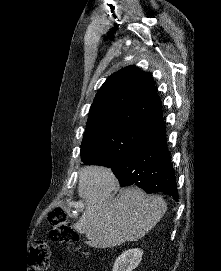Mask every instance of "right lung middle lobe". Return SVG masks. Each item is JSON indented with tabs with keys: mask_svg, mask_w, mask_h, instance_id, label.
Here are the masks:
<instances>
[{
	"mask_svg": "<svg viewBox=\"0 0 221 271\" xmlns=\"http://www.w3.org/2000/svg\"><path fill=\"white\" fill-rule=\"evenodd\" d=\"M146 133L132 127H106L86 134L81 144V161L84 165L110 167L128 155Z\"/></svg>",
	"mask_w": 221,
	"mask_h": 271,
	"instance_id": "1",
	"label": "right lung middle lobe"
}]
</instances>
